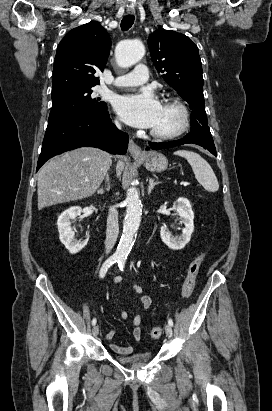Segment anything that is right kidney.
<instances>
[{
	"mask_svg": "<svg viewBox=\"0 0 272 411\" xmlns=\"http://www.w3.org/2000/svg\"><path fill=\"white\" fill-rule=\"evenodd\" d=\"M81 212V207L72 206L62 212L57 220L59 239L71 254H76L81 251L86 246L89 239L87 238L82 242L77 241L74 238V233L71 228L70 220L76 219L78 216H80Z\"/></svg>",
	"mask_w": 272,
	"mask_h": 411,
	"instance_id": "ca27d5eb",
	"label": "right kidney"
}]
</instances>
